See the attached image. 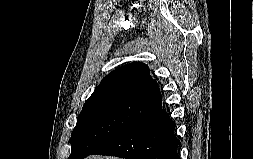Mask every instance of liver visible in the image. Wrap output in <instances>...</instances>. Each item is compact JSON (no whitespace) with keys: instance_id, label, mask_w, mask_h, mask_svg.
Wrapping results in <instances>:
<instances>
[{"instance_id":"6515ba94","label":"liver","mask_w":253,"mask_h":159,"mask_svg":"<svg viewBox=\"0 0 253 159\" xmlns=\"http://www.w3.org/2000/svg\"><path fill=\"white\" fill-rule=\"evenodd\" d=\"M86 159H120V158L108 157V156H99V155H91V156H88Z\"/></svg>"}]
</instances>
